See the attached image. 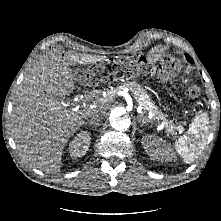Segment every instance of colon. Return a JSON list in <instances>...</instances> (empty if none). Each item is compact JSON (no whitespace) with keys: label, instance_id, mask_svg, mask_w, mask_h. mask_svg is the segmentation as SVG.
<instances>
[{"label":"colon","instance_id":"obj_1","mask_svg":"<svg viewBox=\"0 0 221 221\" xmlns=\"http://www.w3.org/2000/svg\"><path fill=\"white\" fill-rule=\"evenodd\" d=\"M150 60L147 55L138 57L137 69L146 71L149 68ZM158 73L160 76H167L170 74V66L168 62H160L158 64ZM118 67L115 64L107 63L99 66H90L78 72V76L85 80H107L115 77L118 74ZM124 74H132L133 69L128 68L123 71ZM199 89L197 86H191L188 89L190 95H197Z\"/></svg>","mask_w":221,"mask_h":221}]
</instances>
